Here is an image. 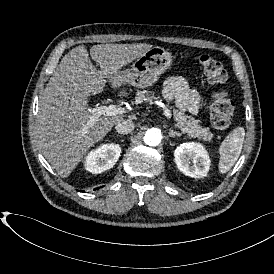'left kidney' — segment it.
Instances as JSON below:
<instances>
[{"label": "left kidney", "mask_w": 274, "mask_h": 274, "mask_svg": "<svg viewBox=\"0 0 274 274\" xmlns=\"http://www.w3.org/2000/svg\"><path fill=\"white\" fill-rule=\"evenodd\" d=\"M175 163L184 175L202 178L207 175L210 160L198 143H184L174 151Z\"/></svg>", "instance_id": "1"}]
</instances>
